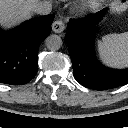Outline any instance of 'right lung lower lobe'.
<instances>
[{
    "label": "right lung lower lobe",
    "instance_id": "obj_1",
    "mask_svg": "<svg viewBox=\"0 0 128 128\" xmlns=\"http://www.w3.org/2000/svg\"><path fill=\"white\" fill-rule=\"evenodd\" d=\"M54 14L31 19L6 33L0 31V83L22 85L37 73L38 47L50 33Z\"/></svg>",
    "mask_w": 128,
    "mask_h": 128
}]
</instances>
